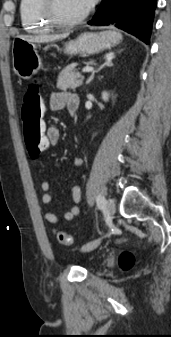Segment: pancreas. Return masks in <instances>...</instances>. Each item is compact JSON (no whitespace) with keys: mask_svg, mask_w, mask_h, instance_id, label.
<instances>
[{"mask_svg":"<svg viewBox=\"0 0 171 337\" xmlns=\"http://www.w3.org/2000/svg\"><path fill=\"white\" fill-rule=\"evenodd\" d=\"M83 83V76L75 69V65L71 64L65 67L59 74L57 79V88L61 90L76 89Z\"/></svg>","mask_w":171,"mask_h":337,"instance_id":"obj_1","label":"pancreas"}]
</instances>
